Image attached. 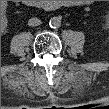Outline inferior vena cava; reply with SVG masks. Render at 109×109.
<instances>
[{
    "label": "inferior vena cava",
    "mask_w": 109,
    "mask_h": 109,
    "mask_svg": "<svg viewBox=\"0 0 109 109\" xmlns=\"http://www.w3.org/2000/svg\"><path fill=\"white\" fill-rule=\"evenodd\" d=\"M40 24H41V20L36 18V17L30 18L29 21H28V25L32 26V27L38 26Z\"/></svg>",
    "instance_id": "obj_1"
}]
</instances>
